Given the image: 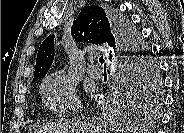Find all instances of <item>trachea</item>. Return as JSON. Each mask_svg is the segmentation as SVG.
<instances>
[{
	"mask_svg": "<svg viewBox=\"0 0 184 133\" xmlns=\"http://www.w3.org/2000/svg\"><path fill=\"white\" fill-rule=\"evenodd\" d=\"M104 62H105V61H104V58H103L102 56L99 57V63L104 64V67H105L106 65H105Z\"/></svg>",
	"mask_w": 184,
	"mask_h": 133,
	"instance_id": "1",
	"label": "trachea"
}]
</instances>
